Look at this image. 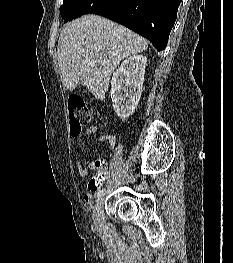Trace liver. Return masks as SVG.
<instances>
[{"instance_id": "liver-1", "label": "liver", "mask_w": 233, "mask_h": 263, "mask_svg": "<svg viewBox=\"0 0 233 263\" xmlns=\"http://www.w3.org/2000/svg\"><path fill=\"white\" fill-rule=\"evenodd\" d=\"M147 47V40L122 25L96 15L82 16L60 33L57 59L62 82L70 91L82 84L103 101L119 63ZM91 59L95 66L89 64Z\"/></svg>"}]
</instances>
